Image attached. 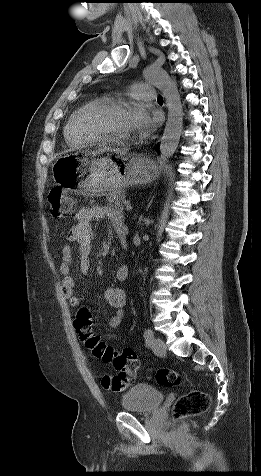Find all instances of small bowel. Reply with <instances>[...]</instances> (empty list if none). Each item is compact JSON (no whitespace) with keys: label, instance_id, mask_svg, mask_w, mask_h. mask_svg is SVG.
<instances>
[{"label":"small bowel","instance_id":"1","mask_svg":"<svg viewBox=\"0 0 261 476\" xmlns=\"http://www.w3.org/2000/svg\"><path fill=\"white\" fill-rule=\"evenodd\" d=\"M101 219L111 220L116 232L125 230L122 214L111 207L95 205L79 209L75 214L76 223L71 227L68 233V243L62 248V260L60 263V273L63 275L62 293L69 301L72 307H79L80 298L75 295V279L71 274L73 261V250L70 244L77 245L79 257V272L86 275L90 269V255L92 241L95 234L94 222ZM116 279L124 281L128 276L126 266H121L116 270ZM104 299L107 304L116 309V312L108 319V326L112 329L118 328L124 318V307L126 305L125 292L115 286H109L104 290Z\"/></svg>","mask_w":261,"mask_h":476}]
</instances>
